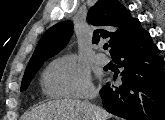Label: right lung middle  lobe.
<instances>
[{
	"label": "right lung middle lobe",
	"instance_id": "1",
	"mask_svg": "<svg viewBox=\"0 0 165 120\" xmlns=\"http://www.w3.org/2000/svg\"><path fill=\"white\" fill-rule=\"evenodd\" d=\"M45 60L46 59H43V60L37 61V62L27 66V68L25 70V74L22 79V83H21V91H24L27 89V87L29 86L34 75L40 69V67L43 65Z\"/></svg>",
	"mask_w": 165,
	"mask_h": 120
}]
</instances>
